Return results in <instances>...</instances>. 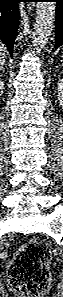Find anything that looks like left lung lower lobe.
Instances as JSON below:
<instances>
[{"label":"left lung lower lobe","mask_w":63,"mask_h":297,"mask_svg":"<svg viewBox=\"0 0 63 297\" xmlns=\"http://www.w3.org/2000/svg\"><path fill=\"white\" fill-rule=\"evenodd\" d=\"M57 2L56 7V28H55V49L63 45V0H50Z\"/></svg>","instance_id":"0a47b994"}]
</instances>
